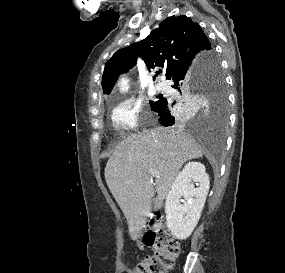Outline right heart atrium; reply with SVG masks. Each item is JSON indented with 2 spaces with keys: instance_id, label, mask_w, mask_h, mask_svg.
<instances>
[{
  "instance_id": "obj_1",
  "label": "right heart atrium",
  "mask_w": 285,
  "mask_h": 273,
  "mask_svg": "<svg viewBox=\"0 0 285 273\" xmlns=\"http://www.w3.org/2000/svg\"><path fill=\"white\" fill-rule=\"evenodd\" d=\"M143 112V105L136 99L129 98L118 103L112 111V122L116 130L131 132L138 128Z\"/></svg>"
}]
</instances>
